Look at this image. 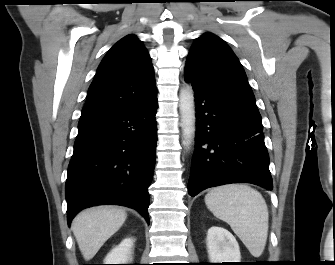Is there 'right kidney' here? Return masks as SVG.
Wrapping results in <instances>:
<instances>
[{"instance_id":"right-kidney-1","label":"right kidney","mask_w":335,"mask_h":265,"mask_svg":"<svg viewBox=\"0 0 335 265\" xmlns=\"http://www.w3.org/2000/svg\"><path fill=\"white\" fill-rule=\"evenodd\" d=\"M134 240L123 239L119 245L114 247L105 257L104 264H127L131 259Z\"/></svg>"}]
</instances>
